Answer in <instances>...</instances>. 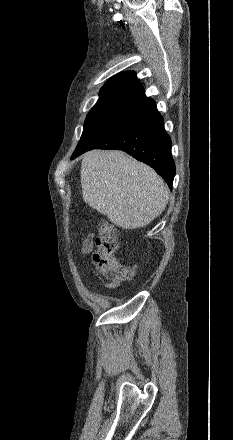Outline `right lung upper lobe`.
I'll return each mask as SVG.
<instances>
[{"label": "right lung upper lobe", "instance_id": "cb5924a9", "mask_svg": "<svg viewBox=\"0 0 233 440\" xmlns=\"http://www.w3.org/2000/svg\"><path fill=\"white\" fill-rule=\"evenodd\" d=\"M144 95L142 85L133 71L119 73L108 80L99 94L97 103L109 102L126 105Z\"/></svg>", "mask_w": 233, "mask_h": 440}]
</instances>
